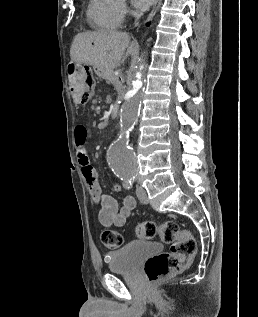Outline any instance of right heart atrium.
Returning <instances> with one entry per match:
<instances>
[{
	"label": "right heart atrium",
	"mask_w": 258,
	"mask_h": 317,
	"mask_svg": "<svg viewBox=\"0 0 258 317\" xmlns=\"http://www.w3.org/2000/svg\"><path fill=\"white\" fill-rule=\"evenodd\" d=\"M129 13L128 6L123 2L121 5V14L123 17H125Z\"/></svg>",
	"instance_id": "d8ad5b80"
}]
</instances>
